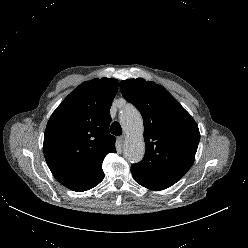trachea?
<instances>
[{
	"label": "trachea",
	"mask_w": 248,
	"mask_h": 248,
	"mask_svg": "<svg viewBox=\"0 0 248 248\" xmlns=\"http://www.w3.org/2000/svg\"><path fill=\"white\" fill-rule=\"evenodd\" d=\"M110 131L113 135H116V136L122 135V128L118 122H113L111 124Z\"/></svg>",
	"instance_id": "3493384b"
}]
</instances>
